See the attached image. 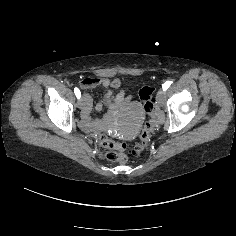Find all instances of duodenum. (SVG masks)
<instances>
[{"mask_svg":"<svg viewBox=\"0 0 236 236\" xmlns=\"http://www.w3.org/2000/svg\"><path fill=\"white\" fill-rule=\"evenodd\" d=\"M122 103H124V98H123L122 94L118 95L116 98H113L111 93H107L104 96V99L98 103V105L102 108L103 104H106L110 109V113H113L115 110L118 109V107ZM90 108H91V101L89 99H87L85 110L90 109ZM104 122H105V120L93 121V120L89 119V117H87V116H82V119H81V123H82L83 127L87 130L97 129L100 126H102L104 124Z\"/></svg>","mask_w":236,"mask_h":236,"instance_id":"410a0bca","label":"duodenum"}]
</instances>
